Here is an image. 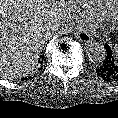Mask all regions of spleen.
Returning <instances> with one entry per match:
<instances>
[{
  "label": "spleen",
  "instance_id": "1",
  "mask_svg": "<svg viewBox=\"0 0 118 118\" xmlns=\"http://www.w3.org/2000/svg\"><path fill=\"white\" fill-rule=\"evenodd\" d=\"M114 53L116 55V58L118 59V44L115 45V47H114Z\"/></svg>",
  "mask_w": 118,
  "mask_h": 118
}]
</instances>
